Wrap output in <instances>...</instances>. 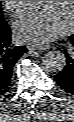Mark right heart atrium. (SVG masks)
I'll return each mask as SVG.
<instances>
[{
    "label": "right heart atrium",
    "instance_id": "obj_1",
    "mask_svg": "<svg viewBox=\"0 0 74 122\" xmlns=\"http://www.w3.org/2000/svg\"><path fill=\"white\" fill-rule=\"evenodd\" d=\"M6 8L14 15H20L24 11L25 7L28 5V1H3ZM22 11V12H21Z\"/></svg>",
    "mask_w": 74,
    "mask_h": 122
}]
</instances>
